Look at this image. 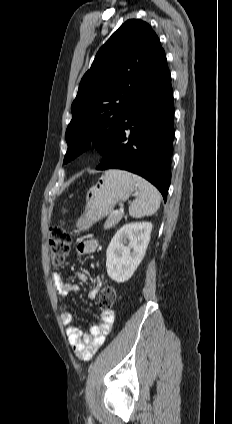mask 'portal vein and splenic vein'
<instances>
[{
	"instance_id": "1",
	"label": "portal vein and splenic vein",
	"mask_w": 232,
	"mask_h": 424,
	"mask_svg": "<svg viewBox=\"0 0 232 424\" xmlns=\"http://www.w3.org/2000/svg\"><path fill=\"white\" fill-rule=\"evenodd\" d=\"M124 212V208L123 207H120L119 208V211H116L115 213H123Z\"/></svg>"
}]
</instances>
